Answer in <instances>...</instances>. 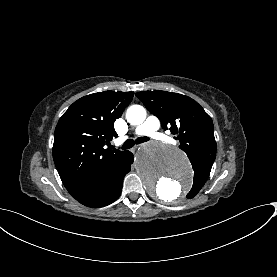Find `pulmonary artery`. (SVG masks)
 <instances>
[{
    "mask_svg": "<svg viewBox=\"0 0 277 277\" xmlns=\"http://www.w3.org/2000/svg\"><path fill=\"white\" fill-rule=\"evenodd\" d=\"M165 123V118L161 114H156L149 120H147L142 126H137L136 129L131 130L128 133L123 135L124 143H132L134 140L141 138L142 136H150L155 138L156 140H164L165 132L160 129Z\"/></svg>",
    "mask_w": 277,
    "mask_h": 277,
    "instance_id": "e3ab8cb5",
    "label": "pulmonary artery"
}]
</instances>
